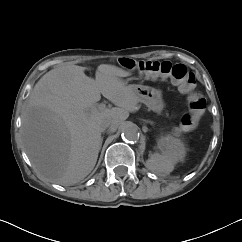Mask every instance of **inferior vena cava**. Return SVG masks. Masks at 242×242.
Wrapping results in <instances>:
<instances>
[{
    "instance_id": "obj_1",
    "label": "inferior vena cava",
    "mask_w": 242,
    "mask_h": 242,
    "mask_svg": "<svg viewBox=\"0 0 242 242\" xmlns=\"http://www.w3.org/2000/svg\"><path fill=\"white\" fill-rule=\"evenodd\" d=\"M117 121L113 117H105L100 122V129L106 133H113L117 129Z\"/></svg>"
}]
</instances>
